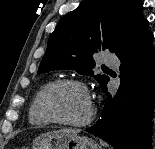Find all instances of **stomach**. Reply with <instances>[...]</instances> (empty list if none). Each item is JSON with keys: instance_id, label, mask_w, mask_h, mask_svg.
Here are the masks:
<instances>
[{"instance_id": "obj_1", "label": "stomach", "mask_w": 155, "mask_h": 149, "mask_svg": "<svg viewBox=\"0 0 155 149\" xmlns=\"http://www.w3.org/2000/svg\"><path fill=\"white\" fill-rule=\"evenodd\" d=\"M33 149H101L93 139L73 133L53 131L36 137Z\"/></svg>"}]
</instances>
